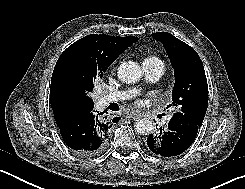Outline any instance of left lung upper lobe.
<instances>
[{
    "label": "left lung upper lobe",
    "mask_w": 245,
    "mask_h": 189,
    "mask_svg": "<svg viewBox=\"0 0 245 189\" xmlns=\"http://www.w3.org/2000/svg\"><path fill=\"white\" fill-rule=\"evenodd\" d=\"M152 36L163 44L174 68L172 101L179 112L172 118L191 120L201 126L208 106V84L199 55L170 33L158 32Z\"/></svg>",
    "instance_id": "5c2ea615"
}]
</instances>
